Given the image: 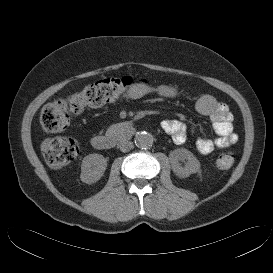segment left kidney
<instances>
[{
    "label": "left kidney",
    "mask_w": 273,
    "mask_h": 273,
    "mask_svg": "<svg viewBox=\"0 0 273 273\" xmlns=\"http://www.w3.org/2000/svg\"><path fill=\"white\" fill-rule=\"evenodd\" d=\"M169 159L173 172L181 178H186L200 169L199 160L185 148H179L170 152ZM179 160H187V163L185 166H181Z\"/></svg>",
    "instance_id": "left-kidney-1"
}]
</instances>
